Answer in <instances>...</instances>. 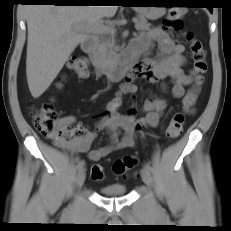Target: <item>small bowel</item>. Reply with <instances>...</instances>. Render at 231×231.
I'll use <instances>...</instances> for the list:
<instances>
[{
	"label": "small bowel",
	"instance_id": "1",
	"mask_svg": "<svg viewBox=\"0 0 231 231\" xmlns=\"http://www.w3.org/2000/svg\"><path fill=\"white\" fill-rule=\"evenodd\" d=\"M157 47V56L149 58L150 51ZM132 50H138L144 57L126 75V81L121 87V93L131 94L133 100L137 92L134 84L136 79H144L155 84L166 79L171 81L170 93L174 98L182 99L187 111H192L198 87L194 85V74H187L183 70L186 64L185 46L175 43L170 35L161 27H155L143 33L134 43ZM190 87L186 91V87ZM165 90L166 87L163 85ZM120 96L110 101L106 110L100 115L96 123V131L106 130L110 143L107 146L90 149L96 137V131L86 132V135L69 146L76 154L87 153L91 161H99L117 150L132 148L136 144V134L146 126H157L167 107L166 100L159 95H152L143 105L145 116L136 119V106L133 103L127 115L119 113ZM65 125L75 122L73 116H66L60 120Z\"/></svg>",
	"mask_w": 231,
	"mask_h": 231
}]
</instances>
